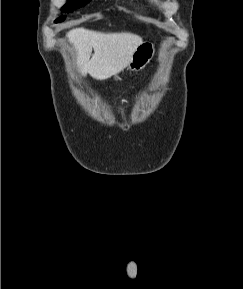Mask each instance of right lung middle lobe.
<instances>
[{
  "instance_id": "1",
  "label": "right lung middle lobe",
  "mask_w": 243,
  "mask_h": 289,
  "mask_svg": "<svg viewBox=\"0 0 243 289\" xmlns=\"http://www.w3.org/2000/svg\"><path fill=\"white\" fill-rule=\"evenodd\" d=\"M69 3L65 6L62 7V12H71L74 8H79L84 6L87 2H89L90 0H68ZM65 19V16H62L60 18H58L57 20H55V22H61Z\"/></svg>"
}]
</instances>
